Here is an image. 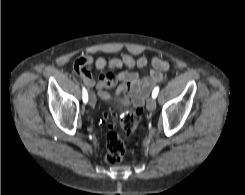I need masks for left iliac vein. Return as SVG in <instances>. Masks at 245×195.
<instances>
[{
    "instance_id": "left-iliac-vein-1",
    "label": "left iliac vein",
    "mask_w": 245,
    "mask_h": 195,
    "mask_svg": "<svg viewBox=\"0 0 245 195\" xmlns=\"http://www.w3.org/2000/svg\"><path fill=\"white\" fill-rule=\"evenodd\" d=\"M146 108L149 110V111H153L156 109V101L153 97H150L148 100H147V103H146Z\"/></svg>"
}]
</instances>
